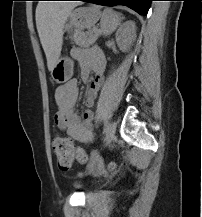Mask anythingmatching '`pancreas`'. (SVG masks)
Here are the masks:
<instances>
[{"label":"pancreas","instance_id":"obj_1","mask_svg":"<svg viewBox=\"0 0 202 217\" xmlns=\"http://www.w3.org/2000/svg\"><path fill=\"white\" fill-rule=\"evenodd\" d=\"M98 36L99 32L94 30L86 33L76 31L73 36H71V40L81 47H89L96 42Z\"/></svg>","mask_w":202,"mask_h":217}]
</instances>
